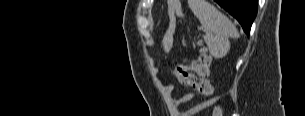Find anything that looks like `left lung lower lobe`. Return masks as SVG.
I'll return each instance as SVG.
<instances>
[{"instance_id":"obj_1","label":"left lung lower lobe","mask_w":305,"mask_h":116,"mask_svg":"<svg viewBox=\"0 0 305 116\" xmlns=\"http://www.w3.org/2000/svg\"><path fill=\"white\" fill-rule=\"evenodd\" d=\"M222 8L235 17L244 32L249 35L257 14L258 0H215Z\"/></svg>"}]
</instances>
